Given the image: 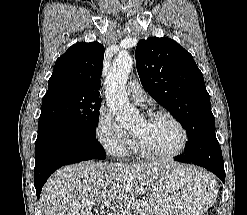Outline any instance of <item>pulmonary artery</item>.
Returning <instances> with one entry per match:
<instances>
[{
	"mask_svg": "<svg viewBox=\"0 0 247 215\" xmlns=\"http://www.w3.org/2000/svg\"><path fill=\"white\" fill-rule=\"evenodd\" d=\"M127 94L129 98L135 103L143 102L146 98L145 90L143 89L142 85L135 79L128 82Z\"/></svg>",
	"mask_w": 247,
	"mask_h": 215,
	"instance_id": "pulmonary-artery-1",
	"label": "pulmonary artery"
}]
</instances>
